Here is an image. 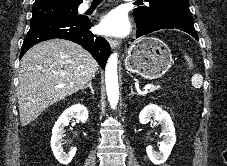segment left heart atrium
Returning a JSON list of instances; mask_svg holds the SVG:
<instances>
[{
	"mask_svg": "<svg viewBox=\"0 0 227 166\" xmlns=\"http://www.w3.org/2000/svg\"><path fill=\"white\" fill-rule=\"evenodd\" d=\"M98 29L104 35L120 36L129 31L130 22L124 12L114 10L101 19Z\"/></svg>",
	"mask_w": 227,
	"mask_h": 166,
	"instance_id": "1",
	"label": "left heart atrium"
}]
</instances>
